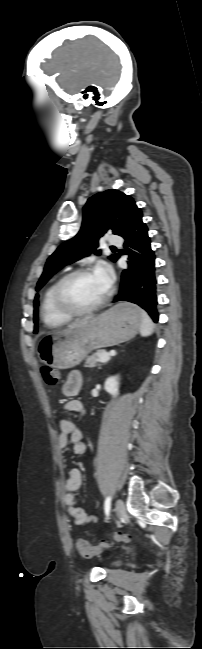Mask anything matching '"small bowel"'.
Segmentation results:
<instances>
[{
  "mask_svg": "<svg viewBox=\"0 0 202 649\" xmlns=\"http://www.w3.org/2000/svg\"><path fill=\"white\" fill-rule=\"evenodd\" d=\"M82 386V375L78 371H73L69 373L66 381L62 386V392L65 396L73 397L81 389ZM64 409L70 413H78L83 409V404L78 399H70L65 405ZM69 442L73 445V453L77 456H83L86 454L87 446L83 442L82 432L76 427V425L67 419H63L60 422V432L57 437V446L60 450H64ZM60 460L63 461V456L60 457ZM82 485V474L79 469H72L69 473L68 478L64 484V503L68 508L70 515L74 519V523L79 526H83L89 523L97 522L98 518L96 515L87 514L84 509L77 506L76 497L72 494L73 492L80 489Z\"/></svg>",
  "mask_w": 202,
  "mask_h": 649,
  "instance_id": "small-bowel-1",
  "label": "small bowel"
}]
</instances>
